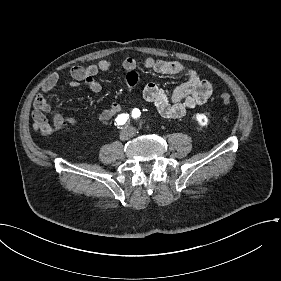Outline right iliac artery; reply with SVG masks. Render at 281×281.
<instances>
[{
  "label": "right iliac artery",
  "instance_id": "right-iliac-artery-1",
  "mask_svg": "<svg viewBox=\"0 0 281 281\" xmlns=\"http://www.w3.org/2000/svg\"><path fill=\"white\" fill-rule=\"evenodd\" d=\"M128 119L129 115L127 113L119 114L115 119V125L118 126V128L123 129Z\"/></svg>",
  "mask_w": 281,
  "mask_h": 281
}]
</instances>
